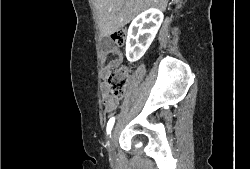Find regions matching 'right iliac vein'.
<instances>
[{"instance_id":"right-iliac-vein-1","label":"right iliac vein","mask_w":250,"mask_h":169,"mask_svg":"<svg viewBox=\"0 0 250 169\" xmlns=\"http://www.w3.org/2000/svg\"><path fill=\"white\" fill-rule=\"evenodd\" d=\"M115 135H116V129H114V130L112 131V134L110 135V140H109V145H110V147H112L113 144H114V137H115Z\"/></svg>"}]
</instances>
